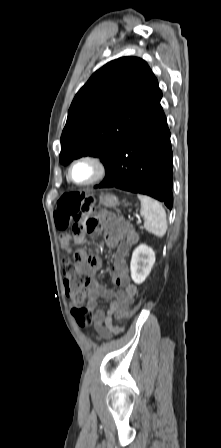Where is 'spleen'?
Segmentation results:
<instances>
[{"mask_svg": "<svg viewBox=\"0 0 221 448\" xmlns=\"http://www.w3.org/2000/svg\"><path fill=\"white\" fill-rule=\"evenodd\" d=\"M141 202L140 213L144 217V228L157 237H163L167 231L166 212L162 205L149 196L138 194Z\"/></svg>", "mask_w": 221, "mask_h": 448, "instance_id": "3e777b00", "label": "spleen"}]
</instances>
